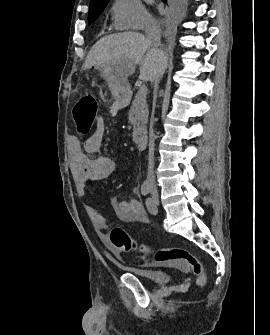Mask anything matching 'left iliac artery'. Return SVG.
Instances as JSON below:
<instances>
[{
  "mask_svg": "<svg viewBox=\"0 0 270 335\" xmlns=\"http://www.w3.org/2000/svg\"><path fill=\"white\" fill-rule=\"evenodd\" d=\"M146 206L150 213L153 212V201L151 198L146 199Z\"/></svg>",
  "mask_w": 270,
  "mask_h": 335,
  "instance_id": "left-iliac-artery-1",
  "label": "left iliac artery"
}]
</instances>
